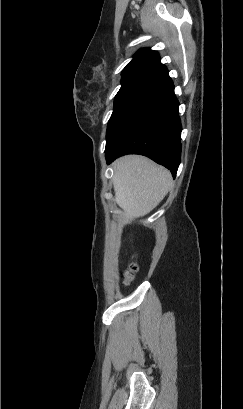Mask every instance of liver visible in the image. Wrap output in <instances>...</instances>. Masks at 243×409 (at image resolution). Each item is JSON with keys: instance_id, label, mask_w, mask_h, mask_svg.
I'll list each match as a JSON object with an SVG mask.
<instances>
[{"instance_id": "liver-1", "label": "liver", "mask_w": 243, "mask_h": 409, "mask_svg": "<svg viewBox=\"0 0 243 409\" xmlns=\"http://www.w3.org/2000/svg\"><path fill=\"white\" fill-rule=\"evenodd\" d=\"M113 169L115 202L124 211L125 222L150 213L172 187L171 173L144 156H123Z\"/></svg>"}]
</instances>
